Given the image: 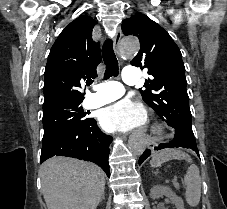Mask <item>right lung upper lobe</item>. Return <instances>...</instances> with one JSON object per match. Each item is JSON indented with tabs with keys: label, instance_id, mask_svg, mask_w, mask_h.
<instances>
[{
	"label": "right lung upper lobe",
	"instance_id": "obj_1",
	"mask_svg": "<svg viewBox=\"0 0 227 209\" xmlns=\"http://www.w3.org/2000/svg\"><path fill=\"white\" fill-rule=\"evenodd\" d=\"M95 24L92 17L80 16L56 39L45 68L43 105L84 99L80 88L86 80L97 77L96 68L101 62L100 45L92 39Z\"/></svg>",
	"mask_w": 227,
	"mask_h": 209
}]
</instances>
